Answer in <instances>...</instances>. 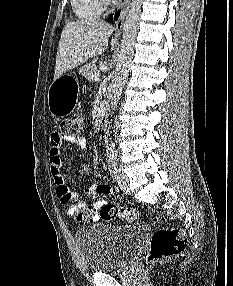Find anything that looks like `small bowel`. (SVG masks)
<instances>
[{"instance_id": "1", "label": "small bowel", "mask_w": 233, "mask_h": 286, "mask_svg": "<svg viewBox=\"0 0 233 286\" xmlns=\"http://www.w3.org/2000/svg\"><path fill=\"white\" fill-rule=\"evenodd\" d=\"M65 142L73 143L81 149H85L87 142L83 137H61L57 132L52 134L50 145V170L56 184V192L61 203L66 206V214L75 216L78 223L85 225L99 220L96 210L107 204V197L113 188L108 183H95L87 189L90 195L100 196L93 205H86L79 201V194L73 191L65 181L63 175L62 147ZM87 216V217H85Z\"/></svg>"}]
</instances>
